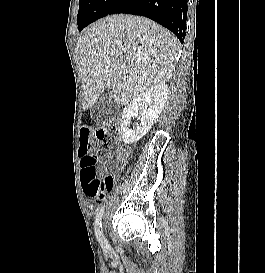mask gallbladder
<instances>
[{
    "mask_svg": "<svg viewBox=\"0 0 265 273\" xmlns=\"http://www.w3.org/2000/svg\"><path fill=\"white\" fill-rule=\"evenodd\" d=\"M118 109L119 105L115 102L112 91H106L101 94L93 107L92 116L97 121H108Z\"/></svg>",
    "mask_w": 265,
    "mask_h": 273,
    "instance_id": "bac80fb5",
    "label": "gallbladder"
}]
</instances>
